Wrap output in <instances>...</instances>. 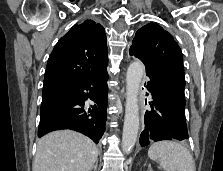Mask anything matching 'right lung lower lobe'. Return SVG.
<instances>
[{"instance_id": "1", "label": "right lung lower lobe", "mask_w": 223, "mask_h": 171, "mask_svg": "<svg viewBox=\"0 0 223 171\" xmlns=\"http://www.w3.org/2000/svg\"><path fill=\"white\" fill-rule=\"evenodd\" d=\"M108 73L103 70L78 85L42 94L38 137L59 129L83 133L98 143L105 131ZM87 99L95 102L88 110Z\"/></svg>"}]
</instances>
